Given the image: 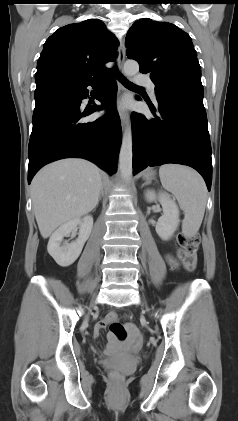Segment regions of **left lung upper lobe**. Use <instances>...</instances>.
<instances>
[{
	"label": "left lung upper lobe",
	"instance_id": "1",
	"mask_svg": "<svg viewBox=\"0 0 238 421\" xmlns=\"http://www.w3.org/2000/svg\"><path fill=\"white\" fill-rule=\"evenodd\" d=\"M125 46L140 72L150 73L156 89L177 83L201 81V68L190 36L168 22L140 19L129 29Z\"/></svg>",
	"mask_w": 238,
	"mask_h": 421
}]
</instances>
